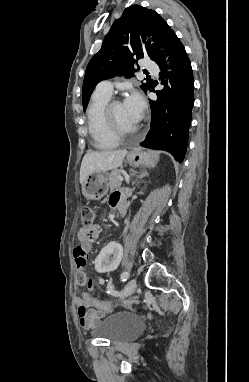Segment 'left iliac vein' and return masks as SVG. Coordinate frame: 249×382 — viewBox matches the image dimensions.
<instances>
[{"instance_id":"4c4485c4","label":"left iliac vein","mask_w":249,"mask_h":382,"mask_svg":"<svg viewBox=\"0 0 249 382\" xmlns=\"http://www.w3.org/2000/svg\"><path fill=\"white\" fill-rule=\"evenodd\" d=\"M136 287H137L136 279L133 278L129 280V282L126 284V286L124 287V289L122 290L120 294L121 300H124L130 295H132L134 291L136 290Z\"/></svg>"}]
</instances>
